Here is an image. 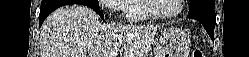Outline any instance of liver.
Listing matches in <instances>:
<instances>
[{
	"mask_svg": "<svg viewBox=\"0 0 249 57\" xmlns=\"http://www.w3.org/2000/svg\"><path fill=\"white\" fill-rule=\"evenodd\" d=\"M157 27L102 24L92 9L68 5L51 13L40 33L41 57H147Z\"/></svg>",
	"mask_w": 249,
	"mask_h": 57,
	"instance_id": "1",
	"label": "liver"
}]
</instances>
